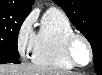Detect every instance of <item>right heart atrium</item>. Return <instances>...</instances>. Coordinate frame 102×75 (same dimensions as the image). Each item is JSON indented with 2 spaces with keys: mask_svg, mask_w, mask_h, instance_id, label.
Segmentation results:
<instances>
[{
  "mask_svg": "<svg viewBox=\"0 0 102 75\" xmlns=\"http://www.w3.org/2000/svg\"><path fill=\"white\" fill-rule=\"evenodd\" d=\"M35 16L29 14L20 24L17 32V46L19 52L26 56L32 51L35 38L34 30Z\"/></svg>",
  "mask_w": 102,
  "mask_h": 75,
  "instance_id": "right-heart-atrium-1",
  "label": "right heart atrium"
}]
</instances>
